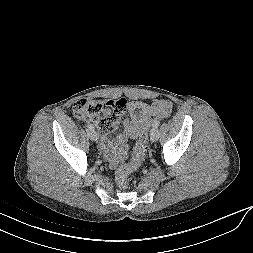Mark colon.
Returning a JSON list of instances; mask_svg holds the SVG:
<instances>
[{"label":"colon","instance_id":"colon-1","mask_svg":"<svg viewBox=\"0 0 253 253\" xmlns=\"http://www.w3.org/2000/svg\"><path fill=\"white\" fill-rule=\"evenodd\" d=\"M125 99L96 100L83 98L73 105V113L77 118L91 120L103 134L113 132L120 116L126 111ZM148 149V126L144 127L139 135L131 160L121 165L115 172V180L119 188L129 187V176L135 172L145 159Z\"/></svg>","mask_w":253,"mask_h":253}]
</instances>
